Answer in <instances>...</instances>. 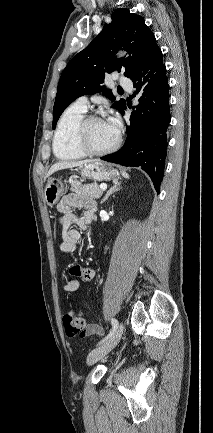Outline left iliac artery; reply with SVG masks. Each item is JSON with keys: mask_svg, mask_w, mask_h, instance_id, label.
<instances>
[{"mask_svg": "<svg viewBox=\"0 0 213 433\" xmlns=\"http://www.w3.org/2000/svg\"><path fill=\"white\" fill-rule=\"evenodd\" d=\"M111 324H112V331H110V333L100 342V344L106 341L116 331L118 327V321L115 318H112Z\"/></svg>", "mask_w": 213, "mask_h": 433, "instance_id": "left-iliac-artery-1", "label": "left iliac artery"}]
</instances>
